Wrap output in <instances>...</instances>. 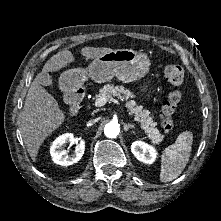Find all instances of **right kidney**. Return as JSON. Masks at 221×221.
Here are the masks:
<instances>
[{
  "label": "right kidney",
  "instance_id": "obj_1",
  "mask_svg": "<svg viewBox=\"0 0 221 221\" xmlns=\"http://www.w3.org/2000/svg\"><path fill=\"white\" fill-rule=\"evenodd\" d=\"M73 141L74 135L72 133H65L53 141L50 147V154L54 163L62 166H69L77 163L82 158L85 151L84 140H80V142L77 144L75 153L68 155L67 151L64 150L66 143Z\"/></svg>",
  "mask_w": 221,
  "mask_h": 221
}]
</instances>
